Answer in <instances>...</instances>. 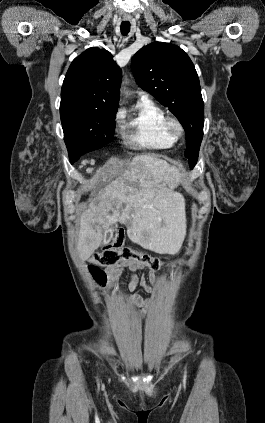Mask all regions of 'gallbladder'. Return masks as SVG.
<instances>
[{
	"label": "gallbladder",
	"mask_w": 265,
	"mask_h": 423,
	"mask_svg": "<svg viewBox=\"0 0 265 423\" xmlns=\"http://www.w3.org/2000/svg\"><path fill=\"white\" fill-rule=\"evenodd\" d=\"M113 238V228L107 230L106 235L104 237V242L108 243Z\"/></svg>",
	"instance_id": "bac80fb5"
}]
</instances>
